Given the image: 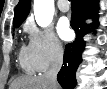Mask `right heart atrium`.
<instances>
[{
	"label": "right heart atrium",
	"mask_w": 107,
	"mask_h": 89,
	"mask_svg": "<svg viewBox=\"0 0 107 89\" xmlns=\"http://www.w3.org/2000/svg\"><path fill=\"white\" fill-rule=\"evenodd\" d=\"M27 32L28 48L37 71H45L62 59L63 46L52 29L29 25Z\"/></svg>",
	"instance_id": "1"
}]
</instances>
